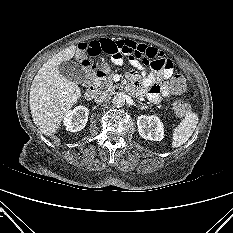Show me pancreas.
<instances>
[{"mask_svg": "<svg viewBox=\"0 0 233 233\" xmlns=\"http://www.w3.org/2000/svg\"><path fill=\"white\" fill-rule=\"evenodd\" d=\"M113 74H109L106 77L102 78L101 81L98 82V86L101 90H105L106 92H113L117 85L113 83Z\"/></svg>", "mask_w": 233, "mask_h": 233, "instance_id": "1", "label": "pancreas"}]
</instances>
